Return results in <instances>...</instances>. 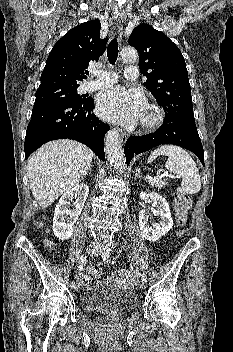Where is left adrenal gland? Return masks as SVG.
Listing matches in <instances>:
<instances>
[{"label":"left adrenal gland","mask_w":233,"mask_h":352,"mask_svg":"<svg viewBox=\"0 0 233 352\" xmlns=\"http://www.w3.org/2000/svg\"><path fill=\"white\" fill-rule=\"evenodd\" d=\"M140 170L139 169H136V172H135V177L134 179L136 180L138 177H140Z\"/></svg>","instance_id":"a2214340"}]
</instances>
